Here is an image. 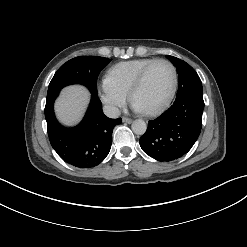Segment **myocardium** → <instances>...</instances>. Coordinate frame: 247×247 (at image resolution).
I'll list each match as a JSON object with an SVG mask.
<instances>
[{
    "instance_id": "1",
    "label": "myocardium",
    "mask_w": 247,
    "mask_h": 247,
    "mask_svg": "<svg viewBox=\"0 0 247 247\" xmlns=\"http://www.w3.org/2000/svg\"><path fill=\"white\" fill-rule=\"evenodd\" d=\"M158 63H166L170 66L172 73H173V83H172V87L171 90L167 96V98L165 99V101L159 105L158 107L149 110V111H143L144 114L146 115H157L159 113H161L162 111H164L169 104L171 103L176 91H177V87H178V72H177V68L176 66L168 59H156L155 61H153L152 63H150L148 66H146L138 75V77L135 79V81L133 82L130 90H129V99L131 102H133V98L134 95L136 93V91L143 85L148 73L150 72V70Z\"/></svg>"
}]
</instances>
